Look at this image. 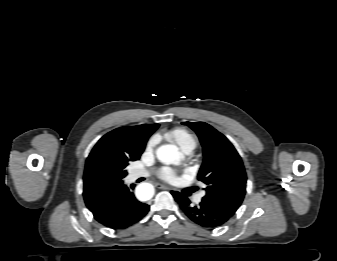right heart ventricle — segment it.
I'll use <instances>...</instances> for the list:
<instances>
[{
    "label": "right heart ventricle",
    "instance_id": "obj_1",
    "mask_svg": "<svg viewBox=\"0 0 337 261\" xmlns=\"http://www.w3.org/2000/svg\"><path fill=\"white\" fill-rule=\"evenodd\" d=\"M167 137L175 142L183 150L195 149L197 142L195 137L186 129L174 128L167 132Z\"/></svg>",
    "mask_w": 337,
    "mask_h": 261
}]
</instances>
